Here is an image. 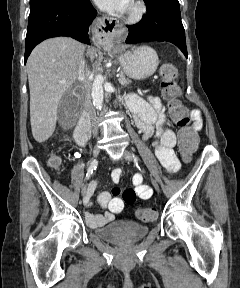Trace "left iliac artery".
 Returning <instances> with one entry per match:
<instances>
[{"instance_id":"44dca946","label":"left iliac artery","mask_w":240,"mask_h":288,"mask_svg":"<svg viewBox=\"0 0 240 288\" xmlns=\"http://www.w3.org/2000/svg\"><path fill=\"white\" fill-rule=\"evenodd\" d=\"M133 158H134L135 161L139 160V158L137 156H135L134 154H133Z\"/></svg>"}]
</instances>
